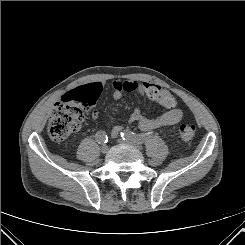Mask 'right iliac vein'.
<instances>
[{"label":"right iliac vein","instance_id":"1","mask_svg":"<svg viewBox=\"0 0 245 245\" xmlns=\"http://www.w3.org/2000/svg\"><path fill=\"white\" fill-rule=\"evenodd\" d=\"M108 150H109V147H108L107 145H103V146L101 147V152H102V153H107Z\"/></svg>","mask_w":245,"mask_h":245}]
</instances>
